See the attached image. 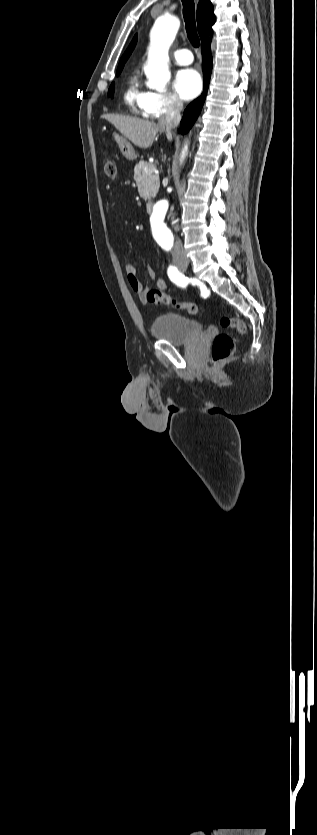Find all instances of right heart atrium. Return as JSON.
<instances>
[{
    "instance_id": "1",
    "label": "right heart atrium",
    "mask_w": 317,
    "mask_h": 835,
    "mask_svg": "<svg viewBox=\"0 0 317 835\" xmlns=\"http://www.w3.org/2000/svg\"><path fill=\"white\" fill-rule=\"evenodd\" d=\"M183 107L181 100L172 92L150 91L144 107V114L157 119L178 113Z\"/></svg>"
}]
</instances>
